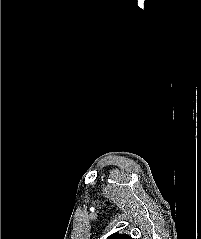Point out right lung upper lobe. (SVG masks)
Segmentation results:
<instances>
[{"instance_id": "right-lung-upper-lobe-1", "label": "right lung upper lobe", "mask_w": 201, "mask_h": 239, "mask_svg": "<svg viewBox=\"0 0 201 239\" xmlns=\"http://www.w3.org/2000/svg\"><path fill=\"white\" fill-rule=\"evenodd\" d=\"M107 239H131V237L127 234L114 233L110 235Z\"/></svg>"}]
</instances>
